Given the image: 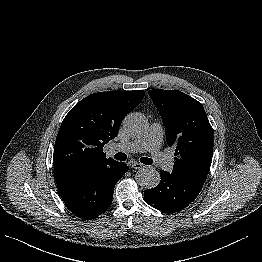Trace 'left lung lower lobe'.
I'll return each instance as SVG.
<instances>
[{"label":"left lung lower lobe","mask_w":262,"mask_h":262,"mask_svg":"<svg viewBox=\"0 0 262 262\" xmlns=\"http://www.w3.org/2000/svg\"><path fill=\"white\" fill-rule=\"evenodd\" d=\"M161 181L155 188L147 189L144 198L154 208L173 213L186 208L199 194L202 185L181 176L160 171Z\"/></svg>","instance_id":"0a47b994"}]
</instances>
